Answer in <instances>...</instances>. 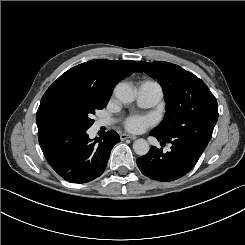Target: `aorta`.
Instances as JSON below:
<instances>
[{
    "label": "aorta",
    "mask_w": 245,
    "mask_h": 245,
    "mask_svg": "<svg viewBox=\"0 0 245 245\" xmlns=\"http://www.w3.org/2000/svg\"><path fill=\"white\" fill-rule=\"evenodd\" d=\"M115 97L122 103H131L135 100V93L128 84H118L114 89ZM133 150L139 156L149 152V144L145 139H137L133 143Z\"/></svg>",
    "instance_id": "762f6f07"
}]
</instances>
